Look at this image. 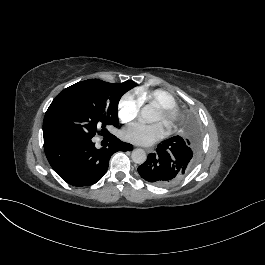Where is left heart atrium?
<instances>
[{"label": "left heart atrium", "mask_w": 265, "mask_h": 265, "mask_svg": "<svg viewBox=\"0 0 265 265\" xmlns=\"http://www.w3.org/2000/svg\"><path fill=\"white\" fill-rule=\"evenodd\" d=\"M167 135V130L162 123L146 125L135 123L126 127L122 132V137L134 144L149 145Z\"/></svg>", "instance_id": "1"}]
</instances>
